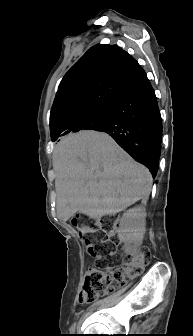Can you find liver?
<instances>
[{
    "label": "liver",
    "mask_w": 193,
    "mask_h": 336,
    "mask_svg": "<svg viewBox=\"0 0 193 336\" xmlns=\"http://www.w3.org/2000/svg\"><path fill=\"white\" fill-rule=\"evenodd\" d=\"M57 216L66 222L76 212L90 218L116 214L138 200L146 203L152 176L108 134L81 131L55 148Z\"/></svg>",
    "instance_id": "1"
}]
</instances>
